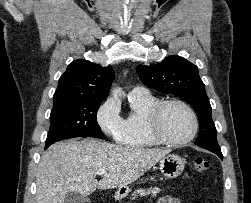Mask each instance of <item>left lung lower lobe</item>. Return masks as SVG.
<instances>
[{"label": "left lung lower lobe", "instance_id": "0a47b994", "mask_svg": "<svg viewBox=\"0 0 251 203\" xmlns=\"http://www.w3.org/2000/svg\"><path fill=\"white\" fill-rule=\"evenodd\" d=\"M211 152L215 153V154L218 155L221 159H223V155H222V153H221V150H220V151L212 150Z\"/></svg>", "mask_w": 251, "mask_h": 203}]
</instances>
